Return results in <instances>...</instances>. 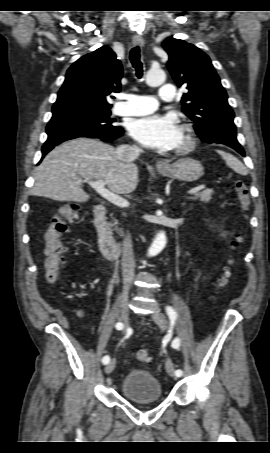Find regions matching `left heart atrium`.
<instances>
[{"mask_svg":"<svg viewBox=\"0 0 270 453\" xmlns=\"http://www.w3.org/2000/svg\"><path fill=\"white\" fill-rule=\"evenodd\" d=\"M128 129L138 142L160 151L178 147L183 138L182 128L173 115H151L134 119Z\"/></svg>","mask_w":270,"mask_h":453,"instance_id":"left-heart-atrium-1","label":"left heart atrium"}]
</instances>
